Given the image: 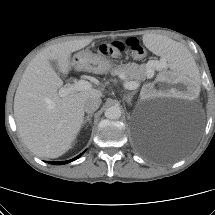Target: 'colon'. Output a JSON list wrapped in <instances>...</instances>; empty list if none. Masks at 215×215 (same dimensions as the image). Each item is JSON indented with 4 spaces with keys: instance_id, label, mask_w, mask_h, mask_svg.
Returning a JSON list of instances; mask_svg holds the SVG:
<instances>
[{
    "instance_id": "obj_1",
    "label": "colon",
    "mask_w": 215,
    "mask_h": 215,
    "mask_svg": "<svg viewBox=\"0 0 215 215\" xmlns=\"http://www.w3.org/2000/svg\"><path fill=\"white\" fill-rule=\"evenodd\" d=\"M125 49H127L128 53L135 58H142L145 56L146 53L140 41L135 37L128 38L125 41L117 40L102 44L99 47V52L101 54L116 58Z\"/></svg>"
}]
</instances>
